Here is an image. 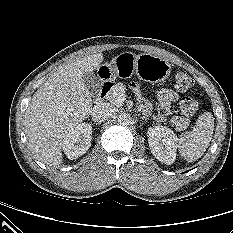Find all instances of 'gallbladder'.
Here are the masks:
<instances>
[{
	"label": "gallbladder",
	"mask_w": 233,
	"mask_h": 233,
	"mask_svg": "<svg viewBox=\"0 0 233 233\" xmlns=\"http://www.w3.org/2000/svg\"><path fill=\"white\" fill-rule=\"evenodd\" d=\"M83 82L85 87L89 90L90 94L97 97L100 93V80L93 72L84 74Z\"/></svg>",
	"instance_id": "bac80fb5"
}]
</instances>
